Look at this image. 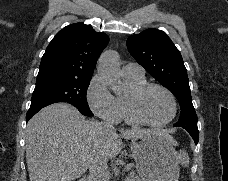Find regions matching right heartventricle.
Returning <instances> with one entry per match:
<instances>
[{"mask_svg": "<svg viewBox=\"0 0 228 181\" xmlns=\"http://www.w3.org/2000/svg\"><path fill=\"white\" fill-rule=\"evenodd\" d=\"M120 77L123 79V81H119ZM117 80L126 86L124 92H117L118 95L116 98L121 118L125 119L128 123L136 124L137 121L133 118L129 109V99L133 90L136 87L146 83V79L143 75H127L126 72H122L118 69Z\"/></svg>", "mask_w": 228, "mask_h": 181, "instance_id": "e07e8e85", "label": "right heart ventricle"}]
</instances>
